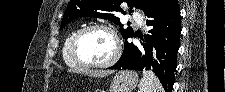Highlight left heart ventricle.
Wrapping results in <instances>:
<instances>
[{
	"mask_svg": "<svg viewBox=\"0 0 225 92\" xmlns=\"http://www.w3.org/2000/svg\"><path fill=\"white\" fill-rule=\"evenodd\" d=\"M77 49L82 59L91 63H103L112 57L114 44L107 32L92 30L80 39Z\"/></svg>",
	"mask_w": 225,
	"mask_h": 92,
	"instance_id": "1",
	"label": "left heart ventricle"
}]
</instances>
